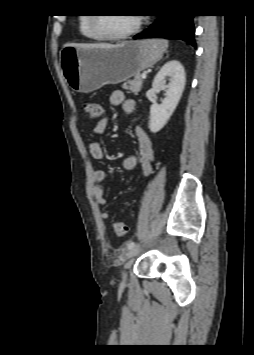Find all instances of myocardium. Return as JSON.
<instances>
[{"mask_svg":"<svg viewBox=\"0 0 254 355\" xmlns=\"http://www.w3.org/2000/svg\"><path fill=\"white\" fill-rule=\"evenodd\" d=\"M101 20L102 19L99 18L98 16H94L91 18V23H90L92 31L101 40H111V41L124 40V39H127V38L135 35L141 27V17L136 16L135 23H134L133 27H131L129 30H127L123 33H120V34H109V33H106L102 29Z\"/></svg>","mask_w":254,"mask_h":355,"instance_id":"f54148a6","label":"myocardium"}]
</instances>
